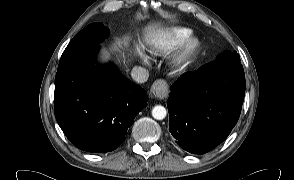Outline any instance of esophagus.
Returning <instances> with one entry per match:
<instances>
[{
  "label": "esophagus",
  "instance_id": "obj_1",
  "mask_svg": "<svg viewBox=\"0 0 294 180\" xmlns=\"http://www.w3.org/2000/svg\"><path fill=\"white\" fill-rule=\"evenodd\" d=\"M150 94L153 98L165 99L169 94L168 83L163 79L156 80L151 87Z\"/></svg>",
  "mask_w": 294,
  "mask_h": 180
}]
</instances>
